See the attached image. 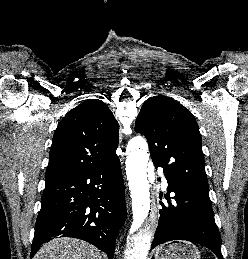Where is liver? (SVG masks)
Listing matches in <instances>:
<instances>
[{
    "label": "liver",
    "instance_id": "6515ba94",
    "mask_svg": "<svg viewBox=\"0 0 248 259\" xmlns=\"http://www.w3.org/2000/svg\"><path fill=\"white\" fill-rule=\"evenodd\" d=\"M34 259H102L93 245L74 238H56L45 243Z\"/></svg>",
    "mask_w": 248,
    "mask_h": 259
}]
</instances>
